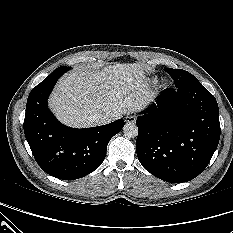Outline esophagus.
Returning <instances> with one entry per match:
<instances>
[{"mask_svg":"<svg viewBox=\"0 0 233 233\" xmlns=\"http://www.w3.org/2000/svg\"><path fill=\"white\" fill-rule=\"evenodd\" d=\"M125 121H126L127 123H133V122L136 121V116H135V115H132V114H128V115H126V117H125Z\"/></svg>","mask_w":233,"mask_h":233,"instance_id":"obj_1","label":"esophagus"}]
</instances>
